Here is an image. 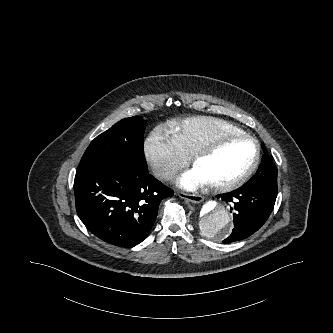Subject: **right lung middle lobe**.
I'll list each match as a JSON object with an SVG mask.
<instances>
[{
  "mask_svg": "<svg viewBox=\"0 0 333 333\" xmlns=\"http://www.w3.org/2000/svg\"><path fill=\"white\" fill-rule=\"evenodd\" d=\"M146 121L140 116L125 118L97 136L86 149L79 166L120 165L127 169H145L143 153Z\"/></svg>",
  "mask_w": 333,
  "mask_h": 333,
  "instance_id": "obj_1",
  "label": "right lung middle lobe"
}]
</instances>
